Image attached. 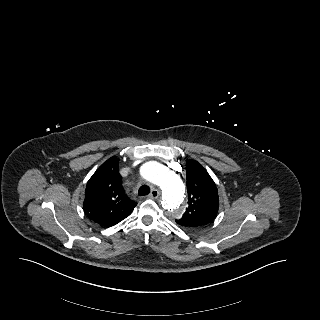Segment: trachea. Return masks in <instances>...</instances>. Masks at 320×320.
Instances as JSON below:
<instances>
[{
    "label": "trachea",
    "instance_id": "trachea-1",
    "mask_svg": "<svg viewBox=\"0 0 320 320\" xmlns=\"http://www.w3.org/2000/svg\"><path fill=\"white\" fill-rule=\"evenodd\" d=\"M149 192H150V189H149V187H148L147 185L141 186V187L139 188V190H138V194H139L140 196L148 195Z\"/></svg>",
    "mask_w": 320,
    "mask_h": 320
}]
</instances>
